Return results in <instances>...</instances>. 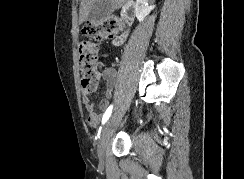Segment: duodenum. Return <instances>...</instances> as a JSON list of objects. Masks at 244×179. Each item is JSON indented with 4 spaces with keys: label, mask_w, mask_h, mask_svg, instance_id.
Returning a JSON list of instances; mask_svg holds the SVG:
<instances>
[{
    "label": "duodenum",
    "mask_w": 244,
    "mask_h": 179,
    "mask_svg": "<svg viewBox=\"0 0 244 179\" xmlns=\"http://www.w3.org/2000/svg\"><path fill=\"white\" fill-rule=\"evenodd\" d=\"M136 13V5L134 1L128 0L124 2L123 8L121 10L122 17L127 20L134 18Z\"/></svg>",
    "instance_id": "duodenum-1"
}]
</instances>
